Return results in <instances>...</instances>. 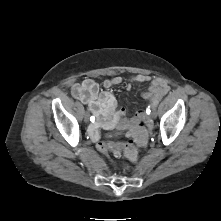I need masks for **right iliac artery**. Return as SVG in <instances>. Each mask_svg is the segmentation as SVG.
<instances>
[{
  "label": "right iliac artery",
  "instance_id": "82829eb1",
  "mask_svg": "<svg viewBox=\"0 0 221 221\" xmlns=\"http://www.w3.org/2000/svg\"><path fill=\"white\" fill-rule=\"evenodd\" d=\"M94 120H95V117H94V116H91V117H90V121H91V122H94Z\"/></svg>",
  "mask_w": 221,
  "mask_h": 221
}]
</instances>
